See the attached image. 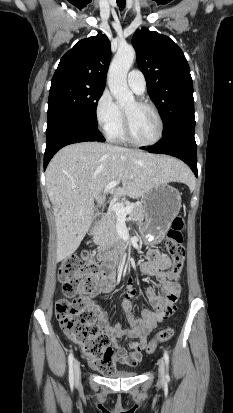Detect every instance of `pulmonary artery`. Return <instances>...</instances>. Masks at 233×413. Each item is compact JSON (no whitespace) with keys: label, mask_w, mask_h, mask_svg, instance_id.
<instances>
[{"label":"pulmonary artery","mask_w":233,"mask_h":413,"mask_svg":"<svg viewBox=\"0 0 233 413\" xmlns=\"http://www.w3.org/2000/svg\"><path fill=\"white\" fill-rule=\"evenodd\" d=\"M128 86L136 93L142 94L146 89V80L143 73L140 70L133 69L127 76Z\"/></svg>","instance_id":"1"}]
</instances>
